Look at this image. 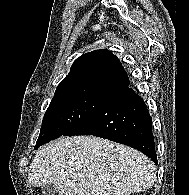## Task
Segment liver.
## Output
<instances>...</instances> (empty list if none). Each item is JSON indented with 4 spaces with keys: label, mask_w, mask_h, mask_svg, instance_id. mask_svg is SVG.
I'll use <instances>...</instances> for the list:
<instances>
[{
    "label": "liver",
    "mask_w": 189,
    "mask_h": 195,
    "mask_svg": "<svg viewBox=\"0 0 189 195\" xmlns=\"http://www.w3.org/2000/svg\"><path fill=\"white\" fill-rule=\"evenodd\" d=\"M29 183L59 195H130L151 188L156 167L143 153L99 137H61L30 164Z\"/></svg>",
    "instance_id": "liver-1"
}]
</instances>
